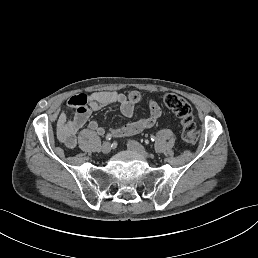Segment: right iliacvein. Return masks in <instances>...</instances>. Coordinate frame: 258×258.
Returning <instances> with one entry per match:
<instances>
[{"instance_id":"right-iliac-vein-1","label":"right iliac vein","mask_w":258,"mask_h":258,"mask_svg":"<svg viewBox=\"0 0 258 258\" xmlns=\"http://www.w3.org/2000/svg\"><path fill=\"white\" fill-rule=\"evenodd\" d=\"M111 149H112L111 143L108 141H105L102 143L100 151L102 154L107 155L110 153Z\"/></svg>"}]
</instances>
